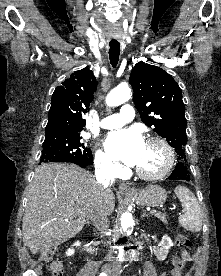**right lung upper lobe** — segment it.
<instances>
[{"label":"right lung upper lobe","instance_id":"cb5924a9","mask_svg":"<svg viewBox=\"0 0 221 276\" xmlns=\"http://www.w3.org/2000/svg\"><path fill=\"white\" fill-rule=\"evenodd\" d=\"M96 87V78L88 67L62 82L52 95L45 135L80 132L86 124L82 115L88 112Z\"/></svg>","mask_w":221,"mask_h":276}]
</instances>
